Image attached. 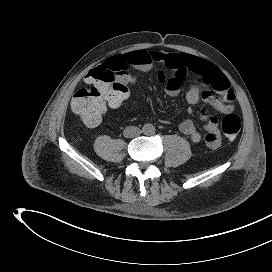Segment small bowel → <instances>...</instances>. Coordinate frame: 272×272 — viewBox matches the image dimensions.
Listing matches in <instances>:
<instances>
[{
	"mask_svg": "<svg viewBox=\"0 0 272 272\" xmlns=\"http://www.w3.org/2000/svg\"><path fill=\"white\" fill-rule=\"evenodd\" d=\"M104 65L124 68V74L120 77L130 84H135L137 80L127 71L129 67L149 72L157 66L167 95L172 97L179 95L184 82L190 78L192 83L185 93L188 104L194 105L202 101L221 114L230 113L234 109L235 92L225 74L214 64L197 56L187 53L167 54L161 51L136 50L112 56ZM201 120L206 132L204 136L189 119L182 121L179 129L194 143L204 142L211 149L218 148L221 145L218 117L204 113Z\"/></svg>",
	"mask_w": 272,
	"mask_h": 272,
	"instance_id": "small-bowel-1",
	"label": "small bowel"
}]
</instances>
